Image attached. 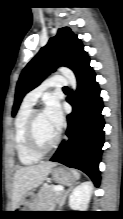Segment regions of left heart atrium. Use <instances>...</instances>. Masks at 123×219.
Returning a JSON list of instances; mask_svg holds the SVG:
<instances>
[{"label": "left heart atrium", "mask_w": 123, "mask_h": 219, "mask_svg": "<svg viewBox=\"0 0 123 219\" xmlns=\"http://www.w3.org/2000/svg\"><path fill=\"white\" fill-rule=\"evenodd\" d=\"M44 114L47 119L50 121L52 126L59 132L64 123V117L60 103L55 98H50L44 109Z\"/></svg>", "instance_id": "left-heart-atrium-1"}]
</instances>
